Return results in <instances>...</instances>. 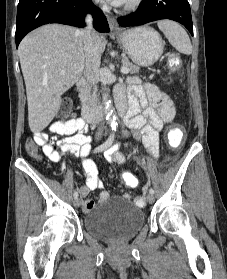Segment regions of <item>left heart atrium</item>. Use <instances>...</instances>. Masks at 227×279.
<instances>
[{"mask_svg": "<svg viewBox=\"0 0 227 279\" xmlns=\"http://www.w3.org/2000/svg\"><path fill=\"white\" fill-rule=\"evenodd\" d=\"M105 1H107L109 3H112L114 5H120V4H122L126 0H105Z\"/></svg>", "mask_w": 227, "mask_h": 279, "instance_id": "39dd6f15", "label": "left heart atrium"}]
</instances>
